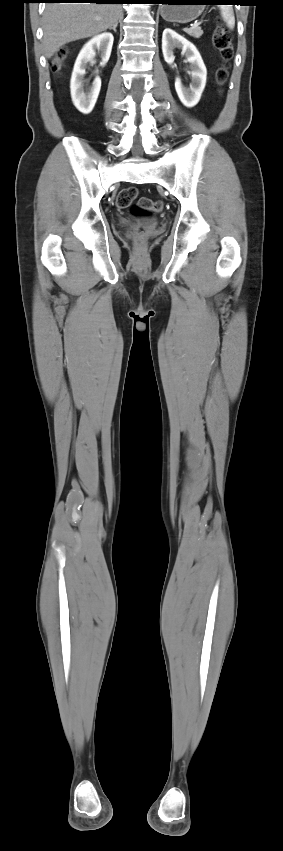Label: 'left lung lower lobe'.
<instances>
[{"label": "left lung lower lobe", "mask_w": 283, "mask_h": 851, "mask_svg": "<svg viewBox=\"0 0 283 851\" xmlns=\"http://www.w3.org/2000/svg\"><path fill=\"white\" fill-rule=\"evenodd\" d=\"M147 1H149L150 3H154V4H165V3H168L169 0H147ZM209 1H211L213 3H230V2H236L237 0H209Z\"/></svg>", "instance_id": "left-lung-lower-lobe-1"}]
</instances>
